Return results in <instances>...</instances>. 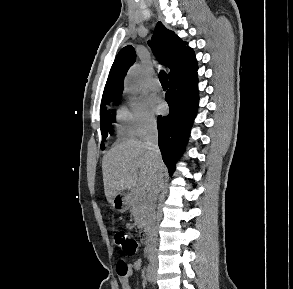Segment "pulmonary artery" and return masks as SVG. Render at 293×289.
<instances>
[{
    "instance_id": "pulmonary-artery-1",
    "label": "pulmonary artery",
    "mask_w": 293,
    "mask_h": 289,
    "mask_svg": "<svg viewBox=\"0 0 293 289\" xmlns=\"http://www.w3.org/2000/svg\"><path fill=\"white\" fill-rule=\"evenodd\" d=\"M149 87L152 91L156 92H159L162 89V85L158 78H153L149 83Z\"/></svg>"
}]
</instances>
